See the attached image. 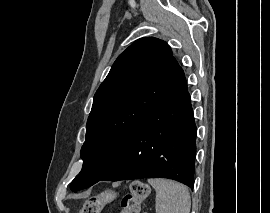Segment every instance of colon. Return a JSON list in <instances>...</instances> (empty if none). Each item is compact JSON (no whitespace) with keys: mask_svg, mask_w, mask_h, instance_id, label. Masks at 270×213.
<instances>
[{"mask_svg":"<svg viewBox=\"0 0 270 213\" xmlns=\"http://www.w3.org/2000/svg\"><path fill=\"white\" fill-rule=\"evenodd\" d=\"M149 194L150 187L147 184L141 181L132 182L128 192L121 198L119 213H139L143 201ZM114 196L111 191L91 196L84 202L79 213H100Z\"/></svg>","mask_w":270,"mask_h":213,"instance_id":"colon-1","label":"colon"}]
</instances>
